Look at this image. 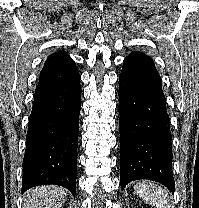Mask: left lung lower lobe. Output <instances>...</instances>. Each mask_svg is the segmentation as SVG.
<instances>
[{"label": "left lung lower lobe", "instance_id": "0a47b994", "mask_svg": "<svg viewBox=\"0 0 199 208\" xmlns=\"http://www.w3.org/2000/svg\"><path fill=\"white\" fill-rule=\"evenodd\" d=\"M120 184L149 179L175 190L172 136L154 64L129 55L119 76Z\"/></svg>", "mask_w": 199, "mask_h": 208}]
</instances>
